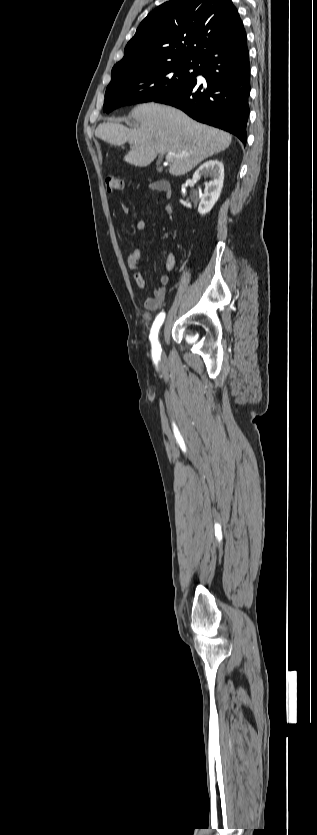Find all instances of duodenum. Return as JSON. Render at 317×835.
<instances>
[{
  "label": "duodenum",
  "mask_w": 317,
  "mask_h": 835,
  "mask_svg": "<svg viewBox=\"0 0 317 835\" xmlns=\"http://www.w3.org/2000/svg\"><path fill=\"white\" fill-rule=\"evenodd\" d=\"M160 189L166 194L167 197H171V187L168 182L160 181Z\"/></svg>",
  "instance_id": "obj_1"
}]
</instances>
